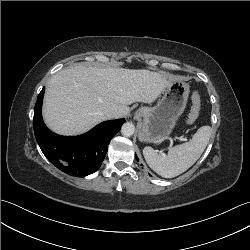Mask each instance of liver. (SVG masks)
<instances>
[{"mask_svg":"<svg viewBox=\"0 0 250 250\" xmlns=\"http://www.w3.org/2000/svg\"><path fill=\"white\" fill-rule=\"evenodd\" d=\"M176 80L145 69L69 67L53 75L47 85L44 121L58 134H80L107 120L109 111L122 118L130 112L128 105L154 102Z\"/></svg>","mask_w":250,"mask_h":250,"instance_id":"1","label":"liver"}]
</instances>
